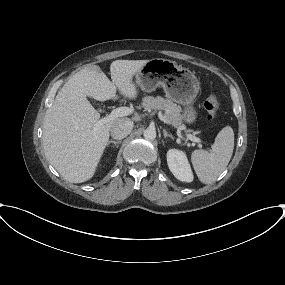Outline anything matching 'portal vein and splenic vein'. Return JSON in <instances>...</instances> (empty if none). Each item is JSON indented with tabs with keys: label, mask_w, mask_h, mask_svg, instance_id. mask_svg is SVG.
Returning <instances> with one entry per match:
<instances>
[{
	"label": "portal vein and splenic vein",
	"mask_w": 285,
	"mask_h": 285,
	"mask_svg": "<svg viewBox=\"0 0 285 285\" xmlns=\"http://www.w3.org/2000/svg\"><path fill=\"white\" fill-rule=\"evenodd\" d=\"M131 113H132L131 108H129V107H119V108H116V109L112 110L111 114L108 117L104 118L103 121L113 120V119H115L117 117L127 116V115H129ZM163 121L168 123V121L166 119H164V118H163ZM177 135L179 137H182L181 132L179 130L177 131ZM186 137H187V139H189V140H191L193 142H196L198 144L202 143V140L200 138H198L196 136H193L191 134H188Z\"/></svg>",
	"instance_id": "portal-vein-and-splenic-vein-1"
}]
</instances>
